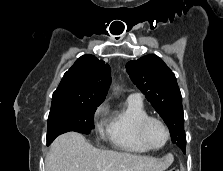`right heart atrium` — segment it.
<instances>
[{"label":"right heart atrium","mask_w":223,"mask_h":171,"mask_svg":"<svg viewBox=\"0 0 223 171\" xmlns=\"http://www.w3.org/2000/svg\"><path fill=\"white\" fill-rule=\"evenodd\" d=\"M106 112H107L106 104H101L100 106L97 107L94 114L96 129L100 132L103 131L104 129V123L101 121V118L105 115Z\"/></svg>","instance_id":"1"}]
</instances>
